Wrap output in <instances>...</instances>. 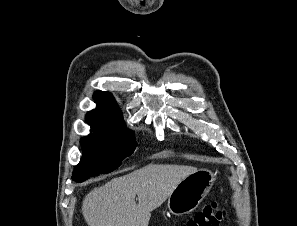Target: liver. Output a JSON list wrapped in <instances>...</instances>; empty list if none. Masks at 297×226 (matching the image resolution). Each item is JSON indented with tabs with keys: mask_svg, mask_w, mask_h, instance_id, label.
Segmentation results:
<instances>
[{
	"mask_svg": "<svg viewBox=\"0 0 297 226\" xmlns=\"http://www.w3.org/2000/svg\"><path fill=\"white\" fill-rule=\"evenodd\" d=\"M196 171L191 166L151 164L113 178L86 195L84 219L88 226H148L151 211L163 204L182 179Z\"/></svg>",
	"mask_w": 297,
	"mask_h": 226,
	"instance_id": "obj_1",
	"label": "liver"
}]
</instances>
